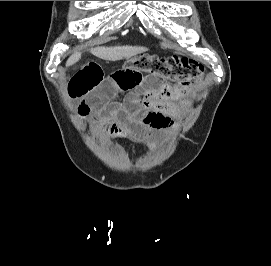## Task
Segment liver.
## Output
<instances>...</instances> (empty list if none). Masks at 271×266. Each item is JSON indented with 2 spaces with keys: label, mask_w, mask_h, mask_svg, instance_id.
<instances>
[{
  "label": "liver",
  "mask_w": 271,
  "mask_h": 266,
  "mask_svg": "<svg viewBox=\"0 0 271 266\" xmlns=\"http://www.w3.org/2000/svg\"><path fill=\"white\" fill-rule=\"evenodd\" d=\"M147 51L145 47L118 46V47H97L91 49V53L103 60L118 61L123 58H130ZM80 53H75L66 62V66H71L79 61Z\"/></svg>",
  "instance_id": "liver-1"
}]
</instances>
